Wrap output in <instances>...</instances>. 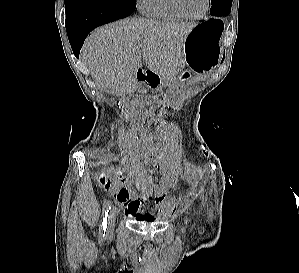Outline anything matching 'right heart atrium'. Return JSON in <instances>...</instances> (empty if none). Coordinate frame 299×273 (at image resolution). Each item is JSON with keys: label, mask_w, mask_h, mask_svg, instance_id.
I'll return each mask as SVG.
<instances>
[{"label": "right heart atrium", "mask_w": 299, "mask_h": 273, "mask_svg": "<svg viewBox=\"0 0 299 273\" xmlns=\"http://www.w3.org/2000/svg\"><path fill=\"white\" fill-rule=\"evenodd\" d=\"M138 2L140 4V6L142 7V4H143L144 0H138Z\"/></svg>", "instance_id": "d8ad5b80"}]
</instances>
